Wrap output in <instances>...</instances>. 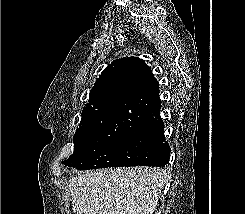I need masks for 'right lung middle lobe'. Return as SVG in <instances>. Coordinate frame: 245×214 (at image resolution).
<instances>
[{
	"label": "right lung middle lobe",
	"mask_w": 245,
	"mask_h": 214,
	"mask_svg": "<svg viewBox=\"0 0 245 214\" xmlns=\"http://www.w3.org/2000/svg\"><path fill=\"white\" fill-rule=\"evenodd\" d=\"M128 137L127 128H117L103 134L74 135V152L62 163L79 170L117 167V147Z\"/></svg>",
	"instance_id": "1"
}]
</instances>
